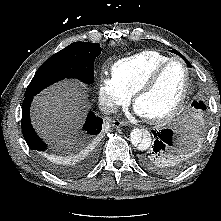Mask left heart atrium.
<instances>
[{
	"label": "left heart atrium",
	"instance_id": "obj_1",
	"mask_svg": "<svg viewBox=\"0 0 221 221\" xmlns=\"http://www.w3.org/2000/svg\"><path fill=\"white\" fill-rule=\"evenodd\" d=\"M134 111L137 115L144 116L143 113L137 107L134 108Z\"/></svg>",
	"mask_w": 221,
	"mask_h": 221
}]
</instances>
